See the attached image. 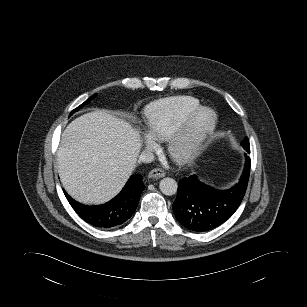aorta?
I'll use <instances>...</instances> for the list:
<instances>
[{
    "label": "aorta",
    "mask_w": 307,
    "mask_h": 307,
    "mask_svg": "<svg viewBox=\"0 0 307 307\" xmlns=\"http://www.w3.org/2000/svg\"><path fill=\"white\" fill-rule=\"evenodd\" d=\"M160 191L167 196L174 195L177 192V182L170 177L163 178L159 184Z\"/></svg>",
    "instance_id": "762f6f07"
}]
</instances>
